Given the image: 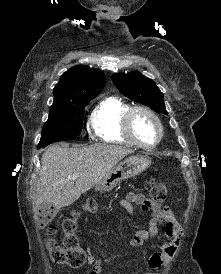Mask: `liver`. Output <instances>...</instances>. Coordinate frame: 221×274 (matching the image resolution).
Returning <instances> with one entry per match:
<instances>
[{"mask_svg":"<svg viewBox=\"0 0 221 274\" xmlns=\"http://www.w3.org/2000/svg\"><path fill=\"white\" fill-rule=\"evenodd\" d=\"M131 153L129 148L108 144L50 146L41 158L34 209L45 203L56 209L71 205ZM74 174L79 177L73 179Z\"/></svg>","mask_w":221,"mask_h":274,"instance_id":"6515ba94","label":"liver"}]
</instances>
